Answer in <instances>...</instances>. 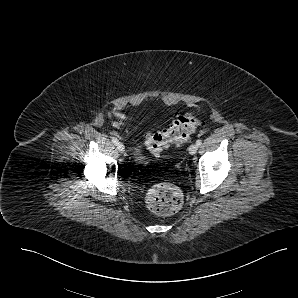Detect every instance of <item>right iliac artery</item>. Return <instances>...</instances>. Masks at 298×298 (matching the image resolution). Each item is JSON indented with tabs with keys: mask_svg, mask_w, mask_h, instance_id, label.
Instances as JSON below:
<instances>
[{
	"mask_svg": "<svg viewBox=\"0 0 298 298\" xmlns=\"http://www.w3.org/2000/svg\"><path fill=\"white\" fill-rule=\"evenodd\" d=\"M112 143L117 144L118 143L117 138H112Z\"/></svg>",
	"mask_w": 298,
	"mask_h": 298,
	"instance_id": "82829eb1",
	"label": "right iliac artery"
}]
</instances>
